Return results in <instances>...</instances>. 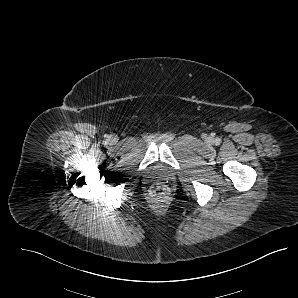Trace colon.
<instances>
[{
  "mask_svg": "<svg viewBox=\"0 0 298 298\" xmlns=\"http://www.w3.org/2000/svg\"><path fill=\"white\" fill-rule=\"evenodd\" d=\"M151 194L155 198H164L168 195V187L164 183H158L153 186Z\"/></svg>",
  "mask_w": 298,
  "mask_h": 298,
  "instance_id": "5ec220e1",
  "label": "colon"
}]
</instances>
